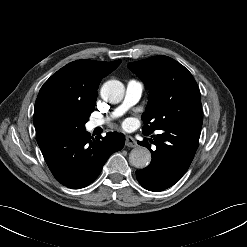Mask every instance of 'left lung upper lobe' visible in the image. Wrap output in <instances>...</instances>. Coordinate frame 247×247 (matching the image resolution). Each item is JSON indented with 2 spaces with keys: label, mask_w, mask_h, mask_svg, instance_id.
Wrapping results in <instances>:
<instances>
[{
  "label": "left lung upper lobe",
  "mask_w": 247,
  "mask_h": 247,
  "mask_svg": "<svg viewBox=\"0 0 247 247\" xmlns=\"http://www.w3.org/2000/svg\"><path fill=\"white\" fill-rule=\"evenodd\" d=\"M128 67L150 92L148 106L141 117L144 135L175 123L202 127L200 91L183 65L161 55L129 63Z\"/></svg>",
  "instance_id": "left-lung-upper-lobe-1"
}]
</instances>
